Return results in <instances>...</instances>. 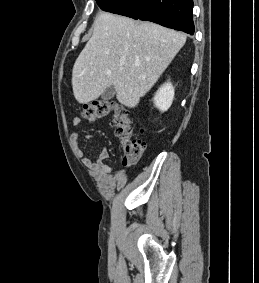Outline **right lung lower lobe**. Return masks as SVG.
<instances>
[{
    "label": "right lung lower lobe",
    "mask_w": 259,
    "mask_h": 283,
    "mask_svg": "<svg viewBox=\"0 0 259 283\" xmlns=\"http://www.w3.org/2000/svg\"><path fill=\"white\" fill-rule=\"evenodd\" d=\"M107 12L194 34L192 0H96Z\"/></svg>",
    "instance_id": "98d812e1"
}]
</instances>
